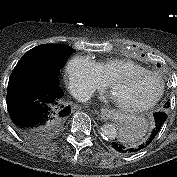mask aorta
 <instances>
[{
	"label": "aorta",
	"mask_w": 177,
	"mask_h": 177,
	"mask_svg": "<svg viewBox=\"0 0 177 177\" xmlns=\"http://www.w3.org/2000/svg\"><path fill=\"white\" fill-rule=\"evenodd\" d=\"M117 133H118L117 128L112 123H105L101 127V135L103 136V138H105L107 140L115 139L117 136Z\"/></svg>",
	"instance_id": "aorta-1"
}]
</instances>
